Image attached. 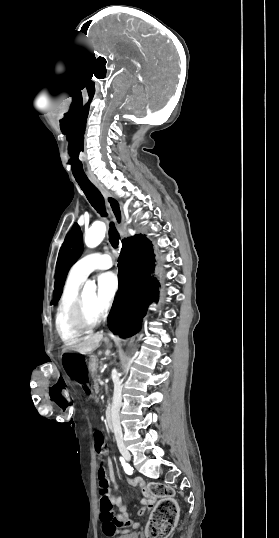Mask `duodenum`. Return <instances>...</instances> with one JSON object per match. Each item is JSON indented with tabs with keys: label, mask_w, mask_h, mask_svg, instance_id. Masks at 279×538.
I'll return each mask as SVG.
<instances>
[{
	"label": "duodenum",
	"mask_w": 279,
	"mask_h": 538,
	"mask_svg": "<svg viewBox=\"0 0 279 538\" xmlns=\"http://www.w3.org/2000/svg\"><path fill=\"white\" fill-rule=\"evenodd\" d=\"M91 372L93 374H96L98 372L97 365H92ZM111 413H112L111 404H106L104 417L106 418V422L108 423V428H113V423H112L113 419L111 418Z\"/></svg>",
	"instance_id": "duodenum-1"
}]
</instances>
